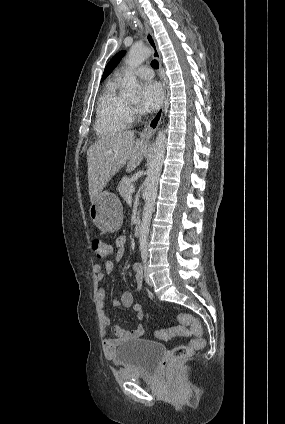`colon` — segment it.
<instances>
[{
    "instance_id": "colon-1",
    "label": "colon",
    "mask_w": 285,
    "mask_h": 424,
    "mask_svg": "<svg viewBox=\"0 0 285 424\" xmlns=\"http://www.w3.org/2000/svg\"><path fill=\"white\" fill-rule=\"evenodd\" d=\"M92 249L99 259L108 257L113 251L111 244L101 239H94L92 241ZM178 318L181 324L189 326L195 338L190 340L187 344L175 347L170 355L171 361L184 359L190 356L194 351L203 348L205 345L204 340L201 338L202 327L199 321L188 314H180ZM187 332L189 331L184 327L159 329L155 332V337L160 340H169L175 336H185Z\"/></svg>"
}]
</instances>
